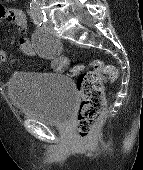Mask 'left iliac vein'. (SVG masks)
Here are the masks:
<instances>
[{
	"label": "left iliac vein",
	"instance_id": "obj_1",
	"mask_svg": "<svg viewBox=\"0 0 143 170\" xmlns=\"http://www.w3.org/2000/svg\"><path fill=\"white\" fill-rule=\"evenodd\" d=\"M47 23L50 25V24H51V20H50V19H48V20H47Z\"/></svg>",
	"mask_w": 143,
	"mask_h": 170
}]
</instances>
